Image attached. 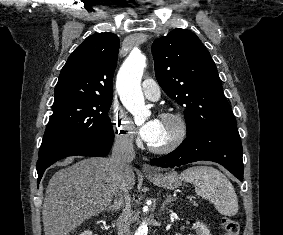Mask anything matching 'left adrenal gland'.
<instances>
[{"label":"left adrenal gland","instance_id":"a2214340","mask_svg":"<svg viewBox=\"0 0 283 235\" xmlns=\"http://www.w3.org/2000/svg\"><path fill=\"white\" fill-rule=\"evenodd\" d=\"M173 200H174V198H172V196L170 194L166 195V200L163 202L160 210L163 211L165 209L166 204L170 203Z\"/></svg>","mask_w":283,"mask_h":235}]
</instances>
